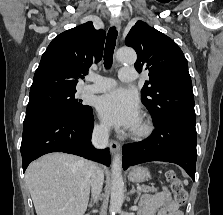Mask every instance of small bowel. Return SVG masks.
I'll return each instance as SVG.
<instances>
[{"label": "small bowel", "mask_w": 223, "mask_h": 215, "mask_svg": "<svg viewBox=\"0 0 223 215\" xmlns=\"http://www.w3.org/2000/svg\"><path fill=\"white\" fill-rule=\"evenodd\" d=\"M141 212L142 215H183L166 189L145 197Z\"/></svg>", "instance_id": "obj_1"}]
</instances>
